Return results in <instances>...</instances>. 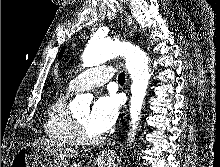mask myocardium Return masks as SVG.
Listing matches in <instances>:
<instances>
[{"instance_id": "myocardium-1", "label": "myocardium", "mask_w": 220, "mask_h": 167, "mask_svg": "<svg viewBox=\"0 0 220 167\" xmlns=\"http://www.w3.org/2000/svg\"><path fill=\"white\" fill-rule=\"evenodd\" d=\"M72 120L74 126V134L77 142L83 145H92L98 143L101 140L100 136L89 134L75 115L72 116Z\"/></svg>"}]
</instances>
